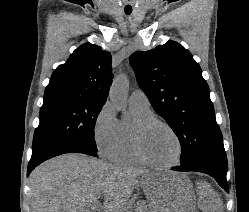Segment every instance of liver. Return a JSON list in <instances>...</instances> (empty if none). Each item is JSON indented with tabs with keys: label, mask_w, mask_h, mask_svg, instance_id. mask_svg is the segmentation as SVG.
I'll list each match as a JSON object with an SVG mask.
<instances>
[{
	"label": "liver",
	"mask_w": 249,
	"mask_h": 212,
	"mask_svg": "<svg viewBox=\"0 0 249 212\" xmlns=\"http://www.w3.org/2000/svg\"><path fill=\"white\" fill-rule=\"evenodd\" d=\"M141 180L150 210L161 212L164 192L173 172H148L112 166L84 154H64L40 164L30 174L32 212H95V202L104 200L103 212H126L133 188ZM198 208L222 212L221 198L209 184L199 182ZM100 208V206H99Z\"/></svg>",
	"instance_id": "6515ba94"
}]
</instances>
